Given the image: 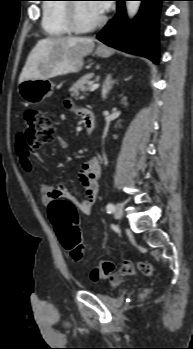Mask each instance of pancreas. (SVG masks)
<instances>
[{
    "label": "pancreas",
    "instance_id": "1",
    "mask_svg": "<svg viewBox=\"0 0 193 349\" xmlns=\"http://www.w3.org/2000/svg\"><path fill=\"white\" fill-rule=\"evenodd\" d=\"M93 77L92 73L86 74L83 77H81L76 83H74L69 91L71 92V95L75 98H84L81 93H84L89 90L91 86V78Z\"/></svg>",
    "mask_w": 193,
    "mask_h": 349
}]
</instances>
